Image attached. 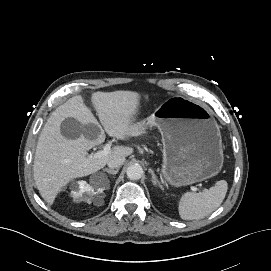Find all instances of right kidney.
<instances>
[{
  "label": "right kidney",
  "mask_w": 271,
  "mask_h": 271,
  "mask_svg": "<svg viewBox=\"0 0 271 271\" xmlns=\"http://www.w3.org/2000/svg\"><path fill=\"white\" fill-rule=\"evenodd\" d=\"M72 196L75 199L91 201L96 195L103 193L104 187L99 184H88L86 181H78L72 184Z\"/></svg>",
  "instance_id": "obj_1"
}]
</instances>
